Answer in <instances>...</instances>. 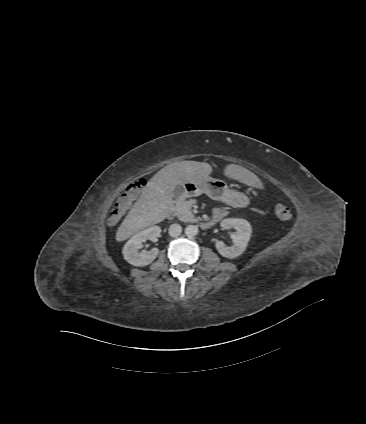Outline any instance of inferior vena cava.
I'll list each match as a JSON object with an SVG mask.
<instances>
[{
    "label": "inferior vena cava",
    "mask_w": 366,
    "mask_h": 424,
    "mask_svg": "<svg viewBox=\"0 0 366 424\" xmlns=\"http://www.w3.org/2000/svg\"><path fill=\"white\" fill-rule=\"evenodd\" d=\"M182 227L179 224H172L169 228V235L171 237H177L181 234Z\"/></svg>",
    "instance_id": "obj_1"
}]
</instances>
